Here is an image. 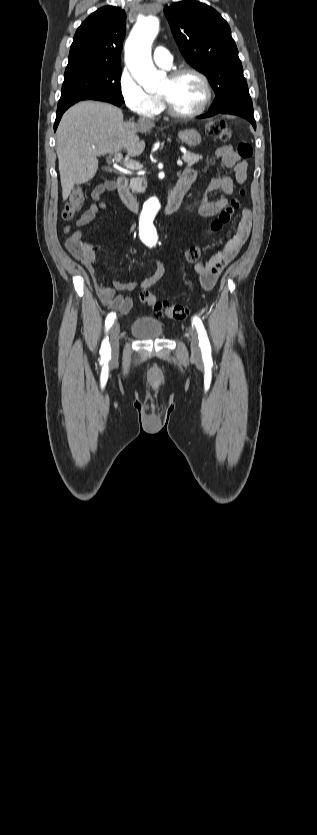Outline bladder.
<instances>
[{"label": "bladder", "mask_w": 317, "mask_h": 835, "mask_svg": "<svg viewBox=\"0 0 317 835\" xmlns=\"http://www.w3.org/2000/svg\"><path fill=\"white\" fill-rule=\"evenodd\" d=\"M131 333L141 339H156L163 336L164 327L159 320L153 317L141 316L133 322Z\"/></svg>", "instance_id": "bladder-1"}]
</instances>
